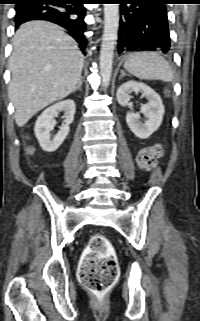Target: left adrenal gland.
Returning a JSON list of instances; mask_svg holds the SVG:
<instances>
[{
	"instance_id": "left-adrenal-gland-1",
	"label": "left adrenal gland",
	"mask_w": 200,
	"mask_h": 321,
	"mask_svg": "<svg viewBox=\"0 0 200 321\" xmlns=\"http://www.w3.org/2000/svg\"><path fill=\"white\" fill-rule=\"evenodd\" d=\"M125 75H127L123 70H121V75L119 77V79H122Z\"/></svg>"
}]
</instances>
